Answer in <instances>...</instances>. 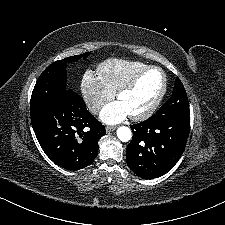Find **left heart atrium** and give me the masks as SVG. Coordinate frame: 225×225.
I'll list each match as a JSON object with an SVG mask.
<instances>
[{
    "mask_svg": "<svg viewBox=\"0 0 225 225\" xmlns=\"http://www.w3.org/2000/svg\"><path fill=\"white\" fill-rule=\"evenodd\" d=\"M128 112L119 102H111L106 105L100 113V118L107 124H116L123 121L127 116Z\"/></svg>",
    "mask_w": 225,
    "mask_h": 225,
    "instance_id": "obj_1",
    "label": "left heart atrium"
}]
</instances>
